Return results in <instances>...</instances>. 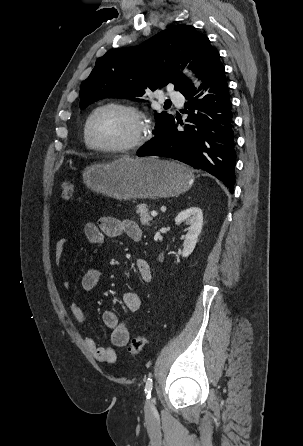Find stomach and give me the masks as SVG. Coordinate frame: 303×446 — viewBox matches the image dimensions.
I'll use <instances>...</instances> for the list:
<instances>
[{
  "label": "stomach",
  "mask_w": 303,
  "mask_h": 446,
  "mask_svg": "<svg viewBox=\"0 0 303 446\" xmlns=\"http://www.w3.org/2000/svg\"><path fill=\"white\" fill-rule=\"evenodd\" d=\"M83 181L96 193L129 200L177 196L189 190L194 176L187 167L174 161L123 157L87 167Z\"/></svg>",
  "instance_id": "stomach-1"
}]
</instances>
